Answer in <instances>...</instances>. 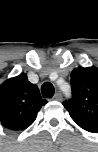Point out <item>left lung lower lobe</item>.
Instances as JSON below:
<instances>
[{"label":"left lung lower lobe","mask_w":98,"mask_h":152,"mask_svg":"<svg viewBox=\"0 0 98 152\" xmlns=\"http://www.w3.org/2000/svg\"><path fill=\"white\" fill-rule=\"evenodd\" d=\"M89 132H93V133H96L97 131H89Z\"/></svg>","instance_id":"obj_1"}]
</instances>
